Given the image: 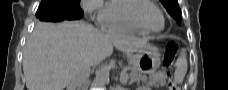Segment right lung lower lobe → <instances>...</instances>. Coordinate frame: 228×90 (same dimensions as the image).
<instances>
[{
  "label": "right lung lower lobe",
  "mask_w": 228,
  "mask_h": 90,
  "mask_svg": "<svg viewBox=\"0 0 228 90\" xmlns=\"http://www.w3.org/2000/svg\"><path fill=\"white\" fill-rule=\"evenodd\" d=\"M83 13L77 17H70L63 13L56 6L51 5V3H41L37 12L36 17L41 21L58 22L63 20H76L80 19Z\"/></svg>",
  "instance_id": "1"
}]
</instances>
